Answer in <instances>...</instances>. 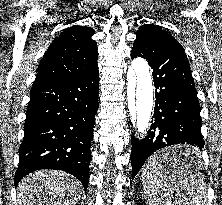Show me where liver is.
<instances>
[{
	"instance_id": "obj_1",
	"label": "liver",
	"mask_w": 222,
	"mask_h": 205,
	"mask_svg": "<svg viewBox=\"0 0 222 205\" xmlns=\"http://www.w3.org/2000/svg\"><path fill=\"white\" fill-rule=\"evenodd\" d=\"M81 183L57 170H38L17 187V205H75L81 197Z\"/></svg>"
}]
</instances>
